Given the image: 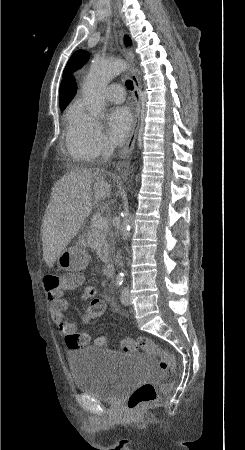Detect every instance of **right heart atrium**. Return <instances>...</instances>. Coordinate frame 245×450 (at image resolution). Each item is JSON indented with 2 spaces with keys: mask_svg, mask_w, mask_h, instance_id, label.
<instances>
[{
  "mask_svg": "<svg viewBox=\"0 0 245 450\" xmlns=\"http://www.w3.org/2000/svg\"><path fill=\"white\" fill-rule=\"evenodd\" d=\"M66 147L81 160H93L111 149L98 120L80 105L75 106L69 118Z\"/></svg>",
  "mask_w": 245,
  "mask_h": 450,
  "instance_id": "obj_1",
  "label": "right heart atrium"
}]
</instances>
